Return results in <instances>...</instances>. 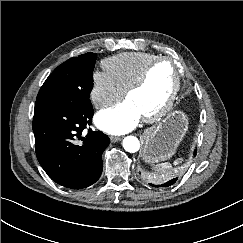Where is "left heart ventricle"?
<instances>
[{
	"label": "left heart ventricle",
	"instance_id": "b2bd125f",
	"mask_svg": "<svg viewBox=\"0 0 243 243\" xmlns=\"http://www.w3.org/2000/svg\"><path fill=\"white\" fill-rule=\"evenodd\" d=\"M175 80V67L169 61L157 63L146 82L131 92L127 99L135 104L143 115L157 109L168 97Z\"/></svg>",
	"mask_w": 243,
	"mask_h": 243
}]
</instances>
